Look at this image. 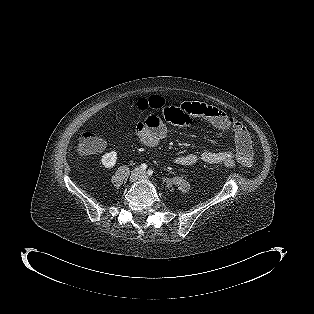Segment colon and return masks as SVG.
I'll return each instance as SVG.
<instances>
[{
    "label": "colon",
    "instance_id": "obj_1",
    "mask_svg": "<svg viewBox=\"0 0 314 314\" xmlns=\"http://www.w3.org/2000/svg\"><path fill=\"white\" fill-rule=\"evenodd\" d=\"M170 102L159 95H153L149 98H143L137 101L136 107L141 111L151 110L148 119L151 121L157 114L154 112H160L162 107ZM102 139L92 130H85L79 137L77 150L80 154L89 155L100 151L102 148ZM223 164L228 168H234L236 162L233 158H225Z\"/></svg>",
    "mask_w": 314,
    "mask_h": 314
}]
</instances>
